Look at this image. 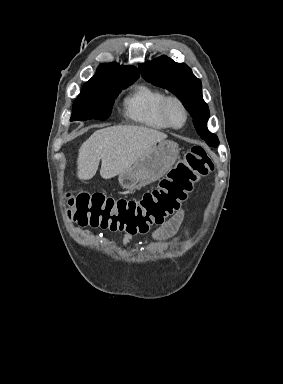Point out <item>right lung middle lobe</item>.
I'll return each mask as SVG.
<instances>
[{
  "instance_id": "1",
  "label": "right lung middle lobe",
  "mask_w": 283,
  "mask_h": 384,
  "mask_svg": "<svg viewBox=\"0 0 283 384\" xmlns=\"http://www.w3.org/2000/svg\"><path fill=\"white\" fill-rule=\"evenodd\" d=\"M132 83H113L82 89L74 101L70 120H106L111 114L114 99Z\"/></svg>"
}]
</instances>
